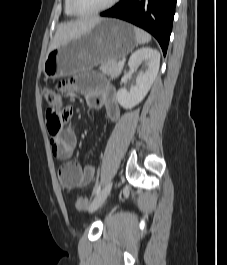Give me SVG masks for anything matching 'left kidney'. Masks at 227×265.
I'll list each match as a JSON object with an SVG mask.
<instances>
[{
    "mask_svg": "<svg viewBox=\"0 0 227 265\" xmlns=\"http://www.w3.org/2000/svg\"><path fill=\"white\" fill-rule=\"evenodd\" d=\"M142 61H148V68L136 77L135 85L130 91L124 88L117 91V101L125 109L133 108L145 98L159 71L160 53L150 47L141 48L131 55L128 65L137 69Z\"/></svg>",
    "mask_w": 227,
    "mask_h": 265,
    "instance_id": "obj_1",
    "label": "left kidney"
}]
</instances>
